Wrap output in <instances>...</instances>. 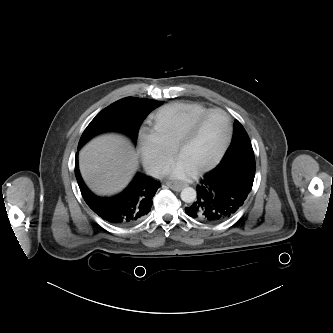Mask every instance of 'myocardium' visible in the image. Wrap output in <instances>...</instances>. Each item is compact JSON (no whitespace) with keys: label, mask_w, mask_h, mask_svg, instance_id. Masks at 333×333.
I'll return each mask as SVG.
<instances>
[{"label":"myocardium","mask_w":333,"mask_h":333,"mask_svg":"<svg viewBox=\"0 0 333 333\" xmlns=\"http://www.w3.org/2000/svg\"><path fill=\"white\" fill-rule=\"evenodd\" d=\"M212 113H221L222 115H224V117L227 120V124H228L227 134H226V137H225L218 153L216 154V156L208 164L203 165V166L193 170L195 174H202V173H205V172L213 169L222 160L223 156L225 155V153L231 143L232 137H233V122H232L231 116L225 110H223L221 108L208 109L202 115L195 118L186 127V129L183 131V133L180 135V137L177 139V141L175 142V144L173 146V152H174L175 156H178V153L184 147V145L192 138V136L194 135V133H195L196 129L198 128V126L200 125V123Z\"/></svg>","instance_id":"myocardium-1"}]
</instances>
